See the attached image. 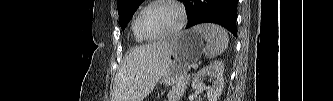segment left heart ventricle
<instances>
[{
    "mask_svg": "<svg viewBox=\"0 0 333 101\" xmlns=\"http://www.w3.org/2000/svg\"><path fill=\"white\" fill-rule=\"evenodd\" d=\"M177 9L168 4H157L144 12L141 18L143 30L150 36L172 31L179 23Z\"/></svg>",
    "mask_w": 333,
    "mask_h": 101,
    "instance_id": "left-heart-ventricle-1",
    "label": "left heart ventricle"
}]
</instances>
